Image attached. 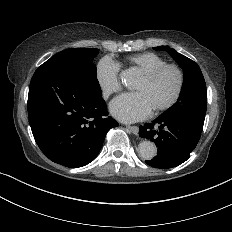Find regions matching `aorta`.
<instances>
[{
	"mask_svg": "<svg viewBox=\"0 0 232 232\" xmlns=\"http://www.w3.org/2000/svg\"><path fill=\"white\" fill-rule=\"evenodd\" d=\"M138 150L140 157L145 160L153 159L157 153V148L155 144L149 140L140 142Z\"/></svg>",
	"mask_w": 232,
	"mask_h": 232,
	"instance_id": "aorta-1",
	"label": "aorta"
}]
</instances>
